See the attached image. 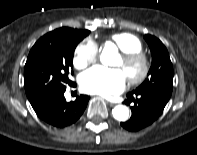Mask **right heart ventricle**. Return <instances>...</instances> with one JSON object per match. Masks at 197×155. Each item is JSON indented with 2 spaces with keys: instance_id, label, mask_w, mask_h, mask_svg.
<instances>
[{
  "instance_id": "right-heart-ventricle-1",
  "label": "right heart ventricle",
  "mask_w": 197,
  "mask_h": 155,
  "mask_svg": "<svg viewBox=\"0 0 197 155\" xmlns=\"http://www.w3.org/2000/svg\"><path fill=\"white\" fill-rule=\"evenodd\" d=\"M109 42L113 43L122 52L142 50L141 40L134 34L121 32L110 36Z\"/></svg>"
}]
</instances>
